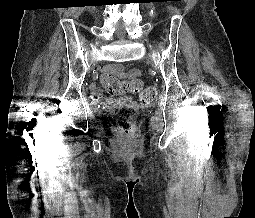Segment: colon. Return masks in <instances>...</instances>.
<instances>
[{
  "instance_id": "obj_1",
  "label": "colon",
  "mask_w": 255,
  "mask_h": 218,
  "mask_svg": "<svg viewBox=\"0 0 255 218\" xmlns=\"http://www.w3.org/2000/svg\"><path fill=\"white\" fill-rule=\"evenodd\" d=\"M102 82L106 90L112 95H123L141 91V101L145 104L152 103L156 98V90L153 87L142 89V83L138 79L122 81L114 77L103 76ZM137 114L138 105L134 102H128L119 108L118 126L121 132L128 133L132 130Z\"/></svg>"
}]
</instances>
